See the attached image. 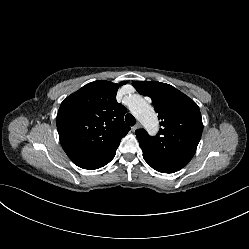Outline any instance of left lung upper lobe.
I'll list each match as a JSON object with an SVG mask.
<instances>
[{
  "label": "left lung upper lobe",
  "mask_w": 249,
  "mask_h": 249,
  "mask_svg": "<svg viewBox=\"0 0 249 249\" xmlns=\"http://www.w3.org/2000/svg\"><path fill=\"white\" fill-rule=\"evenodd\" d=\"M132 85L141 95L152 99L161 120V128L154 137L144 129L135 132L143 158L183 168L194 156L203 131L198 105L166 83L136 81Z\"/></svg>",
  "instance_id": "1"
}]
</instances>
